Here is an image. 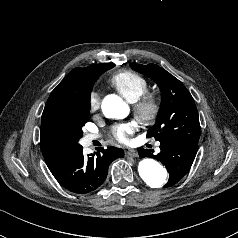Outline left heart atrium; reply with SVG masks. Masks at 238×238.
Wrapping results in <instances>:
<instances>
[{
    "instance_id": "obj_1",
    "label": "left heart atrium",
    "mask_w": 238,
    "mask_h": 238,
    "mask_svg": "<svg viewBox=\"0 0 238 238\" xmlns=\"http://www.w3.org/2000/svg\"><path fill=\"white\" fill-rule=\"evenodd\" d=\"M134 122H124L115 125L112 128L111 135L114 139L121 143H127L129 140V136L135 131Z\"/></svg>"
}]
</instances>
